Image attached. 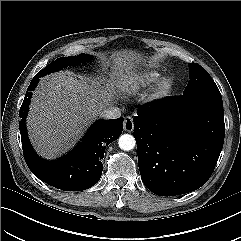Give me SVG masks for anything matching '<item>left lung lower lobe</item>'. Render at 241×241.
Here are the masks:
<instances>
[{"instance_id":"obj_1","label":"left lung lower lobe","mask_w":241,"mask_h":241,"mask_svg":"<svg viewBox=\"0 0 241 241\" xmlns=\"http://www.w3.org/2000/svg\"><path fill=\"white\" fill-rule=\"evenodd\" d=\"M133 121L139 170L150 191L174 196L207 182L225 136L221 95L166 97L143 105Z\"/></svg>"}]
</instances>
